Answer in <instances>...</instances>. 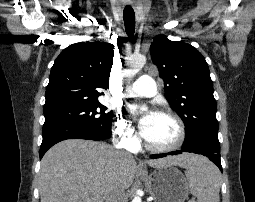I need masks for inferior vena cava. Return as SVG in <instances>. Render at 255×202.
Here are the masks:
<instances>
[{"label": "inferior vena cava", "mask_w": 255, "mask_h": 202, "mask_svg": "<svg viewBox=\"0 0 255 202\" xmlns=\"http://www.w3.org/2000/svg\"><path fill=\"white\" fill-rule=\"evenodd\" d=\"M105 199L106 202H126L124 189L118 187L111 188L108 191Z\"/></svg>", "instance_id": "obj_1"}]
</instances>
